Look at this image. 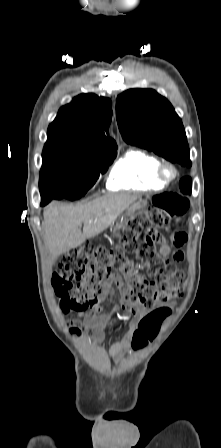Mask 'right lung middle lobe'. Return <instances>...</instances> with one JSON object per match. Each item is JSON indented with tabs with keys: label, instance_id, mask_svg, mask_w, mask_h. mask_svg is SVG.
I'll use <instances>...</instances> for the list:
<instances>
[{
	"label": "right lung middle lobe",
	"instance_id": "right-lung-middle-lobe-1",
	"mask_svg": "<svg viewBox=\"0 0 221 448\" xmlns=\"http://www.w3.org/2000/svg\"><path fill=\"white\" fill-rule=\"evenodd\" d=\"M117 152L88 156L66 149L43 150L39 188L41 199L76 200L105 173Z\"/></svg>",
	"mask_w": 221,
	"mask_h": 448
}]
</instances>
